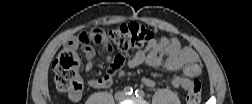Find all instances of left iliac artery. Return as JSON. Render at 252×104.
<instances>
[{
	"label": "left iliac artery",
	"instance_id": "1",
	"mask_svg": "<svg viewBox=\"0 0 252 104\" xmlns=\"http://www.w3.org/2000/svg\"><path fill=\"white\" fill-rule=\"evenodd\" d=\"M135 95H136L137 97H139V98H143V97L145 96V93H144V91L141 90V89H136Z\"/></svg>",
	"mask_w": 252,
	"mask_h": 104
}]
</instances>
